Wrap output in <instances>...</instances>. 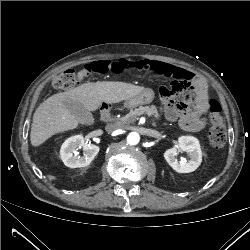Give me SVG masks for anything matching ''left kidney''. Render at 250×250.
Here are the masks:
<instances>
[{
    "mask_svg": "<svg viewBox=\"0 0 250 250\" xmlns=\"http://www.w3.org/2000/svg\"><path fill=\"white\" fill-rule=\"evenodd\" d=\"M178 142L177 147L165 151V160L178 173H190L195 171L202 161V152L198 139L193 136H181ZM178 151L186 152L189 160L187 161L185 158L178 160L176 158Z\"/></svg>",
    "mask_w": 250,
    "mask_h": 250,
    "instance_id": "left-kidney-1",
    "label": "left kidney"
}]
</instances>
